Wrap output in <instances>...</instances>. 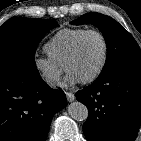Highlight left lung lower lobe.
<instances>
[{
  "label": "left lung lower lobe",
  "instance_id": "1",
  "mask_svg": "<svg viewBox=\"0 0 141 141\" xmlns=\"http://www.w3.org/2000/svg\"><path fill=\"white\" fill-rule=\"evenodd\" d=\"M89 110L88 141H134L141 123V69H122L76 94Z\"/></svg>",
  "mask_w": 141,
  "mask_h": 141
}]
</instances>
